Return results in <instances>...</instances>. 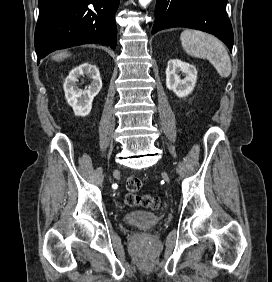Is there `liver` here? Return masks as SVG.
Listing matches in <instances>:
<instances>
[{"label":"liver","mask_w":272,"mask_h":282,"mask_svg":"<svg viewBox=\"0 0 272 282\" xmlns=\"http://www.w3.org/2000/svg\"><path fill=\"white\" fill-rule=\"evenodd\" d=\"M69 56H70V53H68L66 51L65 52H61V53H58L57 55H55L53 57V60L61 61V60L65 59V58H67Z\"/></svg>","instance_id":"1"}]
</instances>
